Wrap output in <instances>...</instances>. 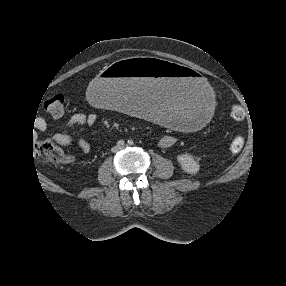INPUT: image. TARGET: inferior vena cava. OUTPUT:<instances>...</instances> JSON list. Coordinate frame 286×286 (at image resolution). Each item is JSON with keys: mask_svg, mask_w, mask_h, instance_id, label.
<instances>
[{"mask_svg": "<svg viewBox=\"0 0 286 286\" xmlns=\"http://www.w3.org/2000/svg\"><path fill=\"white\" fill-rule=\"evenodd\" d=\"M116 150H117V148H116V147L112 149V151H113V152H115Z\"/></svg>", "mask_w": 286, "mask_h": 286, "instance_id": "inferior-vena-cava-1", "label": "inferior vena cava"}]
</instances>
